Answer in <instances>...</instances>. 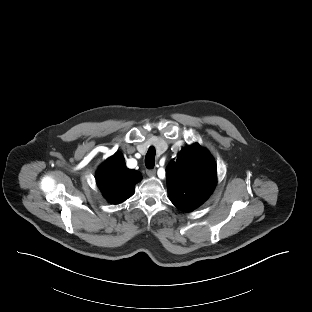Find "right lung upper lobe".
I'll return each mask as SVG.
<instances>
[{"mask_svg": "<svg viewBox=\"0 0 312 312\" xmlns=\"http://www.w3.org/2000/svg\"><path fill=\"white\" fill-rule=\"evenodd\" d=\"M141 174L125 165L123 156L115 153L97 170L96 181L104 197L112 204H119L131 197Z\"/></svg>", "mask_w": 312, "mask_h": 312, "instance_id": "obj_1", "label": "right lung upper lobe"}]
</instances>
